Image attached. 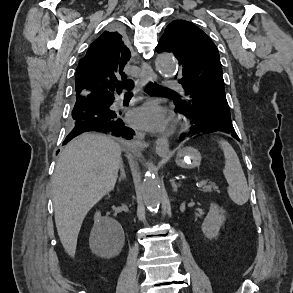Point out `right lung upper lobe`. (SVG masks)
<instances>
[{
    "mask_svg": "<svg viewBox=\"0 0 293 293\" xmlns=\"http://www.w3.org/2000/svg\"><path fill=\"white\" fill-rule=\"evenodd\" d=\"M130 51L117 31H105L79 61L75 76L76 95L121 92L130 85L124 66Z\"/></svg>",
    "mask_w": 293,
    "mask_h": 293,
    "instance_id": "right-lung-upper-lobe-1",
    "label": "right lung upper lobe"
}]
</instances>
